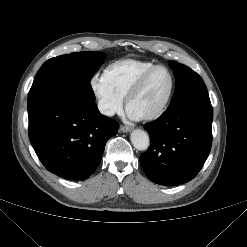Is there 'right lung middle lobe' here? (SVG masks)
Wrapping results in <instances>:
<instances>
[{"instance_id":"obj_1","label":"right lung middle lobe","mask_w":247,"mask_h":247,"mask_svg":"<svg viewBox=\"0 0 247 247\" xmlns=\"http://www.w3.org/2000/svg\"><path fill=\"white\" fill-rule=\"evenodd\" d=\"M104 60L105 55L95 51H82L49 59L35 76L28 94V104L53 94L94 102L95 95L90 81Z\"/></svg>"}]
</instances>
